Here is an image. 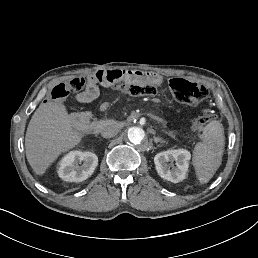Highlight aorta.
<instances>
[{"mask_svg": "<svg viewBox=\"0 0 258 258\" xmlns=\"http://www.w3.org/2000/svg\"><path fill=\"white\" fill-rule=\"evenodd\" d=\"M127 138L135 145L141 144L145 138V131L140 127H130L127 132Z\"/></svg>", "mask_w": 258, "mask_h": 258, "instance_id": "762f6f07", "label": "aorta"}]
</instances>
